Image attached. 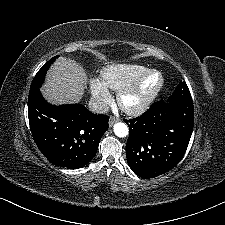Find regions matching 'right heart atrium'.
I'll return each mask as SVG.
<instances>
[{
    "label": "right heart atrium",
    "mask_w": 225,
    "mask_h": 225,
    "mask_svg": "<svg viewBox=\"0 0 225 225\" xmlns=\"http://www.w3.org/2000/svg\"><path fill=\"white\" fill-rule=\"evenodd\" d=\"M89 90L95 101L106 104L111 100V94L108 87L99 79H91L89 81Z\"/></svg>",
    "instance_id": "obj_1"
}]
</instances>
